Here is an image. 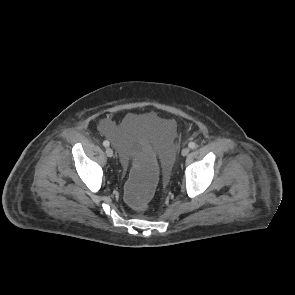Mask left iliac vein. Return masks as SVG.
<instances>
[{"instance_id":"4c4485c4","label":"left iliac vein","mask_w":295,"mask_h":295,"mask_svg":"<svg viewBox=\"0 0 295 295\" xmlns=\"http://www.w3.org/2000/svg\"><path fill=\"white\" fill-rule=\"evenodd\" d=\"M190 152V149L188 147L184 148L181 152L182 156H187Z\"/></svg>"}]
</instances>
